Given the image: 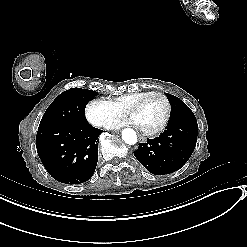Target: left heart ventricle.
<instances>
[{"label": "left heart ventricle", "instance_id": "left-heart-ventricle-1", "mask_svg": "<svg viewBox=\"0 0 247 247\" xmlns=\"http://www.w3.org/2000/svg\"><path fill=\"white\" fill-rule=\"evenodd\" d=\"M165 111L164 99L160 96H151L142 101L139 113L133 120L138 127L152 129L161 124Z\"/></svg>", "mask_w": 247, "mask_h": 247}]
</instances>
